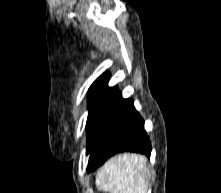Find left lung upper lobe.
I'll list each match as a JSON object with an SVG mask.
<instances>
[{
    "mask_svg": "<svg viewBox=\"0 0 221 193\" xmlns=\"http://www.w3.org/2000/svg\"><path fill=\"white\" fill-rule=\"evenodd\" d=\"M109 75L100 76L89 89V114L86 123L87 149L90 154L108 126V112L115 101L118 88H110Z\"/></svg>",
    "mask_w": 221,
    "mask_h": 193,
    "instance_id": "left-lung-upper-lobe-1",
    "label": "left lung upper lobe"
}]
</instances>
